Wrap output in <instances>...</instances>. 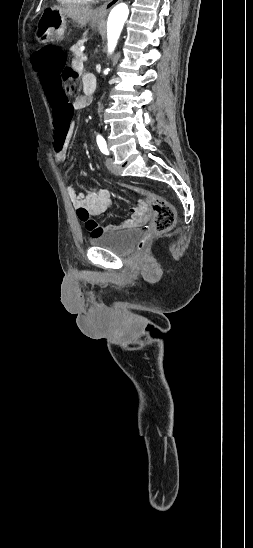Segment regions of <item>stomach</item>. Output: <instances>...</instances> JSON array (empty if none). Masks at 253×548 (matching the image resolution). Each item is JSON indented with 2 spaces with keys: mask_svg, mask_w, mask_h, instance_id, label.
Here are the masks:
<instances>
[{
  "mask_svg": "<svg viewBox=\"0 0 253 548\" xmlns=\"http://www.w3.org/2000/svg\"><path fill=\"white\" fill-rule=\"evenodd\" d=\"M67 17L58 10H46L39 23V31L37 39L40 43H48L60 41L63 39L66 30ZM100 23L99 19L93 20V25L97 27Z\"/></svg>",
  "mask_w": 253,
  "mask_h": 548,
  "instance_id": "obj_1",
  "label": "stomach"
}]
</instances>
